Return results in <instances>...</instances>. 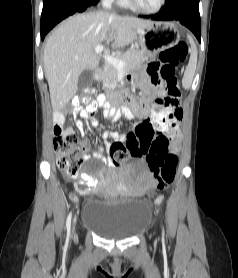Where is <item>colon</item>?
<instances>
[{"label":"colon","instance_id":"colon-1","mask_svg":"<svg viewBox=\"0 0 238 278\" xmlns=\"http://www.w3.org/2000/svg\"><path fill=\"white\" fill-rule=\"evenodd\" d=\"M188 53L187 44L184 41L166 49L160 53L159 59L163 64L160 76H163L164 89L159 98L152 102V121L148 126L156 127V133L161 135L173 127L174 107L179 95L177 87L176 71L185 61ZM151 80H152V76ZM93 89L84 88L80 94L72 99L75 108L85 106L89 111L96 109L93 100ZM54 138V150L57 153L58 167L71 177H78L82 163L83 148L78 143L74 133L57 132ZM152 137H140L139 142L128 144L115 143L110 148V155L114 165H120L129 157L144 156L157 181V189H167L174 181L178 156L171 152L169 144H151ZM161 197H157L160 201Z\"/></svg>","mask_w":238,"mask_h":278}]
</instances>
